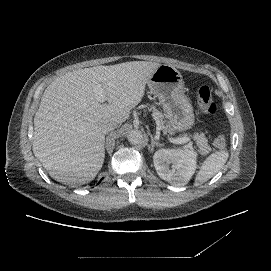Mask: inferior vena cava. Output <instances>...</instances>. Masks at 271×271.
Here are the masks:
<instances>
[{"label":"inferior vena cava","mask_w":271,"mask_h":271,"mask_svg":"<svg viewBox=\"0 0 271 271\" xmlns=\"http://www.w3.org/2000/svg\"><path fill=\"white\" fill-rule=\"evenodd\" d=\"M119 125L118 122L113 121V120H108L105 123H103L101 125V129L106 133L110 132L111 130H114L117 128V126Z\"/></svg>","instance_id":"1"}]
</instances>
